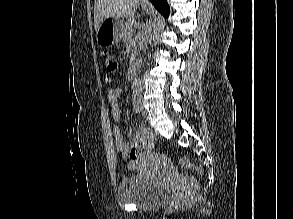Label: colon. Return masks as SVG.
<instances>
[{
    "mask_svg": "<svg viewBox=\"0 0 293 219\" xmlns=\"http://www.w3.org/2000/svg\"><path fill=\"white\" fill-rule=\"evenodd\" d=\"M104 66L106 73L110 76L113 75L118 66L117 59L114 55L107 53L104 57ZM155 145V137L154 135L147 129L144 132L143 141L141 144H139L136 147H133L129 154V164L130 166H135ZM181 165L185 168L189 169H195L197 171H200V169L195 166L194 164H191L190 162L186 160H181Z\"/></svg>",
    "mask_w": 293,
    "mask_h": 219,
    "instance_id": "obj_1",
    "label": "colon"
}]
</instances>
